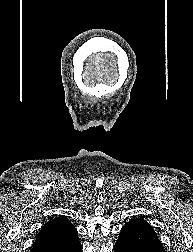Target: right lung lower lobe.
Masks as SVG:
<instances>
[{
	"instance_id": "1",
	"label": "right lung lower lobe",
	"mask_w": 193,
	"mask_h": 252,
	"mask_svg": "<svg viewBox=\"0 0 193 252\" xmlns=\"http://www.w3.org/2000/svg\"><path fill=\"white\" fill-rule=\"evenodd\" d=\"M31 252H82V246L75 229L47 241L34 244Z\"/></svg>"
}]
</instances>
